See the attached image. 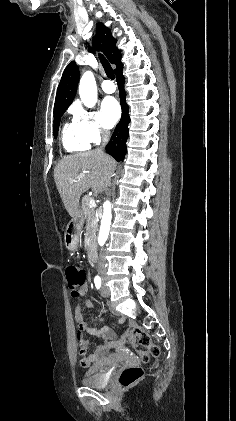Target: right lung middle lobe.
<instances>
[{"mask_svg": "<svg viewBox=\"0 0 236 421\" xmlns=\"http://www.w3.org/2000/svg\"><path fill=\"white\" fill-rule=\"evenodd\" d=\"M67 108L68 107L54 110V126H53V132H54V137L55 138L57 137V134H58V128H59L61 116L64 114V112L66 111Z\"/></svg>", "mask_w": 236, "mask_h": 421, "instance_id": "right-lung-middle-lobe-1", "label": "right lung middle lobe"}]
</instances>
